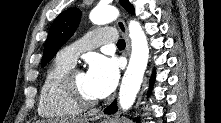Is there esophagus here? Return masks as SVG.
I'll use <instances>...</instances> for the list:
<instances>
[{"instance_id":"1","label":"esophagus","mask_w":221,"mask_h":123,"mask_svg":"<svg viewBox=\"0 0 221 123\" xmlns=\"http://www.w3.org/2000/svg\"><path fill=\"white\" fill-rule=\"evenodd\" d=\"M117 27H118L119 31L121 32V34L125 38V41H126V53H127V55H129L130 54V38H129V35H128L126 24H125L123 19H119L117 21Z\"/></svg>"}]
</instances>
